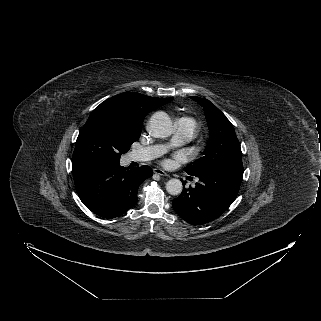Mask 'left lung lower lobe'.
I'll return each instance as SVG.
<instances>
[{
  "instance_id": "obj_1",
  "label": "left lung lower lobe",
  "mask_w": 321,
  "mask_h": 321,
  "mask_svg": "<svg viewBox=\"0 0 321 321\" xmlns=\"http://www.w3.org/2000/svg\"><path fill=\"white\" fill-rule=\"evenodd\" d=\"M243 166L217 167L199 175L195 188H183L173 200L176 213L192 225L209 223L236 199L243 177Z\"/></svg>"
}]
</instances>
